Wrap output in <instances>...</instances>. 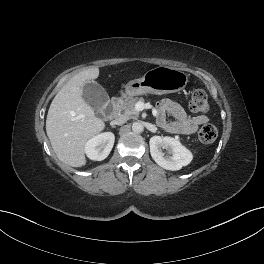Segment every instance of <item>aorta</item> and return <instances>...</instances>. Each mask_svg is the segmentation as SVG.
<instances>
[{"label": "aorta", "mask_w": 264, "mask_h": 264, "mask_svg": "<svg viewBox=\"0 0 264 264\" xmlns=\"http://www.w3.org/2000/svg\"><path fill=\"white\" fill-rule=\"evenodd\" d=\"M132 130L135 133H141L144 130V127L142 125V123L140 122H135L132 126Z\"/></svg>", "instance_id": "1"}]
</instances>
